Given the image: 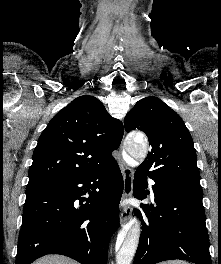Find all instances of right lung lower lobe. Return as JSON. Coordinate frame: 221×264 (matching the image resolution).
<instances>
[{
  "label": "right lung lower lobe",
  "instance_id": "obj_1",
  "mask_svg": "<svg viewBox=\"0 0 221 264\" xmlns=\"http://www.w3.org/2000/svg\"><path fill=\"white\" fill-rule=\"evenodd\" d=\"M122 192L123 177L114 158L90 173L27 187L16 264H31L46 254L107 264Z\"/></svg>",
  "mask_w": 221,
  "mask_h": 264
}]
</instances>
